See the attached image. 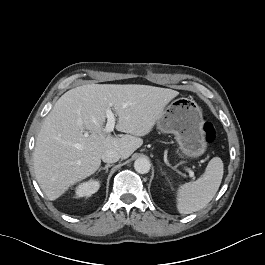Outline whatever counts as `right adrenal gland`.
Listing matches in <instances>:
<instances>
[{
	"instance_id": "1",
	"label": "right adrenal gland",
	"mask_w": 265,
	"mask_h": 265,
	"mask_svg": "<svg viewBox=\"0 0 265 265\" xmlns=\"http://www.w3.org/2000/svg\"><path fill=\"white\" fill-rule=\"evenodd\" d=\"M112 165L111 164H106L104 167H100L98 169V172H100L101 170H105V172L107 173L108 172V168L111 167Z\"/></svg>"
}]
</instances>
